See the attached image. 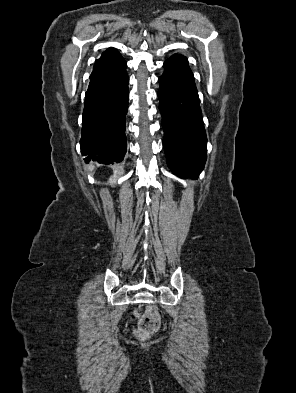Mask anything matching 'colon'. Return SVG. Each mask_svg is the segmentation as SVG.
<instances>
[{"instance_id": "5ec220e1", "label": "colon", "mask_w": 296, "mask_h": 393, "mask_svg": "<svg viewBox=\"0 0 296 393\" xmlns=\"http://www.w3.org/2000/svg\"><path fill=\"white\" fill-rule=\"evenodd\" d=\"M138 321L135 333L140 338H148L158 331L161 320L155 306H147L143 311H136L132 315Z\"/></svg>"}]
</instances>
